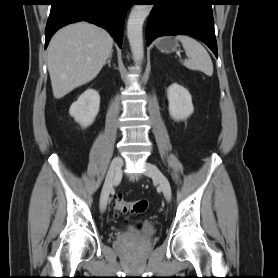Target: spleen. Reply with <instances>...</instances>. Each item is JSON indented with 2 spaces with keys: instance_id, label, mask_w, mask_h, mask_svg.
Listing matches in <instances>:
<instances>
[{
  "instance_id": "1",
  "label": "spleen",
  "mask_w": 278,
  "mask_h": 278,
  "mask_svg": "<svg viewBox=\"0 0 278 278\" xmlns=\"http://www.w3.org/2000/svg\"><path fill=\"white\" fill-rule=\"evenodd\" d=\"M175 39L182 43L188 57L183 65L191 70H199L208 76H212L213 63L206 49L198 41L187 35H177Z\"/></svg>"
}]
</instances>
